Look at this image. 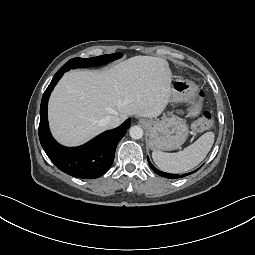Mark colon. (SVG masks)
I'll list each match as a JSON object with an SVG mask.
<instances>
[{"label":"colon","instance_id":"5ec220e1","mask_svg":"<svg viewBox=\"0 0 255 255\" xmlns=\"http://www.w3.org/2000/svg\"><path fill=\"white\" fill-rule=\"evenodd\" d=\"M213 123V114L209 111L203 113V115L198 118L194 124L193 128L197 131H202L209 128Z\"/></svg>","mask_w":255,"mask_h":255}]
</instances>
